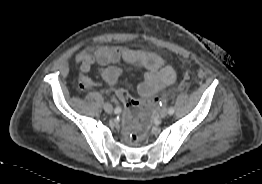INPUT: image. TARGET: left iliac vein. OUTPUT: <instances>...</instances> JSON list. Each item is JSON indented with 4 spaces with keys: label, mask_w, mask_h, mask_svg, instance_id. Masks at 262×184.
<instances>
[{
    "label": "left iliac vein",
    "mask_w": 262,
    "mask_h": 184,
    "mask_svg": "<svg viewBox=\"0 0 262 184\" xmlns=\"http://www.w3.org/2000/svg\"><path fill=\"white\" fill-rule=\"evenodd\" d=\"M168 115V110L166 108H163L159 112V117L160 118H165Z\"/></svg>",
    "instance_id": "obj_1"
}]
</instances>
